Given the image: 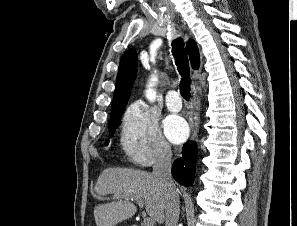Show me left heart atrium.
<instances>
[{"label":"left heart atrium","instance_id":"left-heart-atrium-1","mask_svg":"<svg viewBox=\"0 0 297 226\" xmlns=\"http://www.w3.org/2000/svg\"><path fill=\"white\" fill-rule=\"evenodd\" d=\"M167 138L173 143L183 142L189 133L186 121L177 115H169L163 123Z\"/></svg>","mask_w":297,"mask_h":226}]
</instances>
